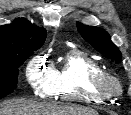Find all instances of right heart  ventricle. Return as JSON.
<instances>
[{"label": "right heart ventricle", "mask_w": 131, "mask_h": 115, "mask_svg": "<svg viewBox=\"0 0 131 115\" xmlns=\"http://www.w3.org/2000/svg\"><path fill=\"white\" fill-rule=\"evenodd\" d=\"M55 87L50 94L63 101L102 104L113 95L99 91L93 85L94 77L102 72L95 59L79 50H69L59 65L53 68Z\"/></svg>", "instance_id": "e07e8e85"}]
</instances>
